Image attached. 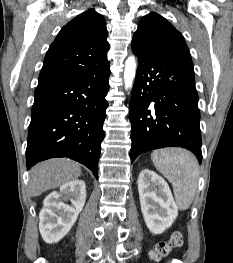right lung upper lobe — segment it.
Wrapping results in <instances>:
<instances>
[{
	"instance_id": "obj_1",
	"label": "right lung upper lobe",
	"mask_w": 233,
	"mask_h": 263,
	"mask_svg": "<svg viewBox=\"0 0 233 263\" xmlns=\"http://www.w3.org/2000/svg\"><path fill=\"white\" fill-rule=\"evenodd\" d=\"M104 18L90 9L65 25L49 47L38 85L85 77L107 61Z\"/></svg>"
}]
</instances>
